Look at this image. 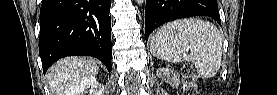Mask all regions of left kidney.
I'll use <instances>...</instances> for the list:
<instances>
[{
	"label": "left kidney",
	"instance_id": "5707ae66",
	"mask_svg": "<svg viewBox=\"0 0 277 95\" xmlns=\"http://www.w3.org/2000/svg\"><path fill=\"white\" fill-rule=\"evenodd\" d=\"M157 73L160 75V77H162L165 81L167 82H171L172 81H177L176 79V73L171 71V70H168V69H165V68H160Z\"/></svg>",
	"mask_w": 277,
	"mask_h": 95
}]
</instances>
